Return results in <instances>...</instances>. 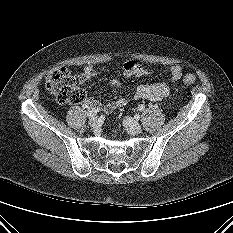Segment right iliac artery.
<instances>
[{
    "instance_id": "obj_1",
    "label": "right iliac artery",
    "mask_w": 233,
    "mask_h": 233,
    "mask_svg": "<svg viewBox=\"0 0 233 233\" xmlns=\"http://www.w3.org/2000/svg\"><path fill=\"white\" fill-rule=\"evenodd\" d=\"M100 111V108H93L92 110H90L87 114V116L89 118L94 117L98 112Z\"/></svg>"
}]
</instances>
